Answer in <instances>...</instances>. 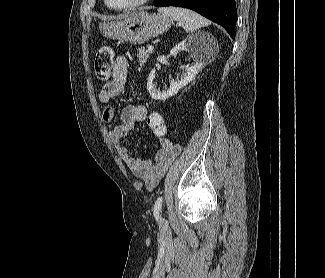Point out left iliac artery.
<instances>
[{
	"mask_svg": "<svg viewBox=\"0 0 325 278\" xmlns=\"http://www.w3.org/2000/svg\"><path fill=\"white\" fill-rule=\"evenodd\" d=\"M162 201H163V197L160 196L157 198V200L155 201L154 204V216L155 218L158 220L160 218V210H161V206H162Z\"/></svg>",
	"mask_w": 325,
	"mask_h": 278,
	"instance_id": "1",
	"label": "left iliac artery"
}]
</instances>
